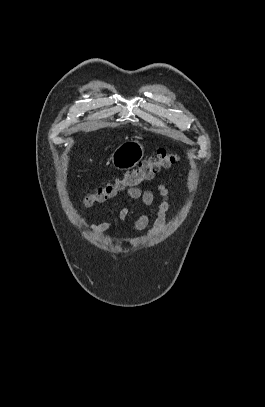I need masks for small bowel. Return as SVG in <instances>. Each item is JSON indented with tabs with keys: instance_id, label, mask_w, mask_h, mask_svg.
<instances>
[{
	"instance_id": "c3829d8e",
	"label": "small bowel",
	"mask_w": 265,
	"mask_h": 407,
	"mask_svg": "<svg viewBox=\"0 0 265 407\" xmlns=\"http://www.w3.org/2000/svg\"><path fill=\"white\" fill-rule=\"evenodd\" d=\"M158 191L162 197V201L158 206L155 220L152 226L148 229L150 225V218L148 214L140 215L134 222L132 229L136 232L145 231L148 229V234L155 235L160 233L167 222L170 203H169V193L167 188L163 184L158 185ZM127 195L132 199H140L145 206H150L154 202V194L151 190L142 191L141 189L135 187L127 190ZM130 215V209L127 207L122 208L117 217V221H123ZM83 223L88 226V228L95 233H104L112 230L116 223L115 222H101L95 224L87 223L86 219L83 218Z\"/></svg>"
}]
</instances>
